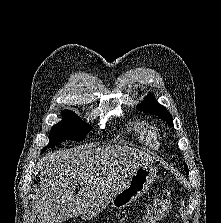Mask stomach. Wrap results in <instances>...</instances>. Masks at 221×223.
Instances as JSON below:
<instances>
[{"instance_id":"0dacf381","label":"stomach","mask_w":221,"mask_h":223,"mask_svg":"<svg viewBox=\"0 0 221 223\" xmlns=\"http://www.w3.org/2000/svg\"><path fill=\"white\" fill-rule=\"evenodd\" d=\"M157 176V168L150 164L138 167L130 176L127 184L112 199L111 205L123 209L148 191Z\"/></svg>"}]
</instances>
